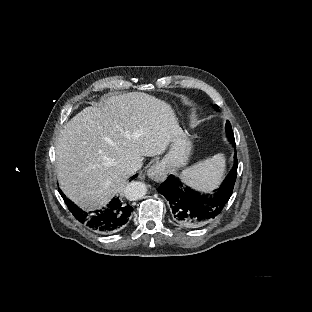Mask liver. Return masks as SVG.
Wrapping results in <instances>:
<instances>
[{"label":"liver","instance_id":"obj_1","mask_svg":"<svg viewBox=\"0 0 312 312\" xmlns=\"http://www.w3.org/2000/svg\"><path fill=\"white\" fill-rule=\"evenodd\" d=\"M181 132L161 100L140 92L107 97L73 117L56 140L60 187L85 211L104 206L135 160L166 153Z\"/></svg>","mask_w":312,"mask_h":312}]
</instances>
